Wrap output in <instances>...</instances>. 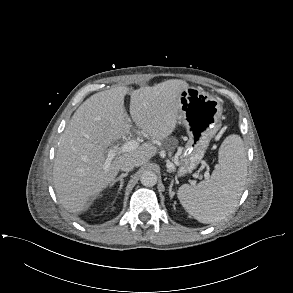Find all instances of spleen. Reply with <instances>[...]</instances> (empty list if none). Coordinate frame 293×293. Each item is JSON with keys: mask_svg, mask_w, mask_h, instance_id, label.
Returning <instances> with one entry per match:
<instances>
[{"mask_svg": "<svg viewBox=\"0 0 293 293\" xmlns=\"http://www.w3.org/2000/svg\"><path fill=\"white\" fill-rule=\"evenodd\" d=\"M247 176L243 140L229 135L219 148V164L209 180L197 186L183 184L177 191L184 209L201 223H217L237 207Z\"/></svg>", "mask_w": 293, "mask_h": 293, "instance_id": "spleen-1", "label": "spleen"}]
</instances>
